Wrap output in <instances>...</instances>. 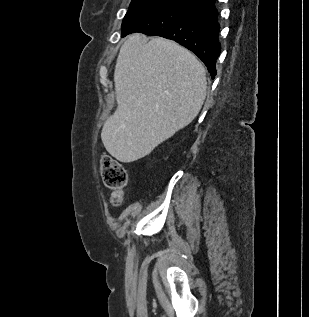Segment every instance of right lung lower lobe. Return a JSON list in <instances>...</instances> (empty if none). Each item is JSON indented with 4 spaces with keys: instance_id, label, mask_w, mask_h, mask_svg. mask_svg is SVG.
I'll return each mask as SVG.
<instances>
[{
    "instance_id": "1",
    "label": "right lung lower lobe",
    "mask_w": 309,
    "mask_h": 317,
    "mask_svg": "<svg viewBox=\"0 0 309 317\" xmlns=\"http://www.w3.org/2000/svg\"><path fill=\"white\" fill-rule=\"evenodd\" d=\"M215 0H178L136 20L122 37L133 32L161 36L193 51L207 66L212 78L221 52Z\"/></svg>"
}]
</instances>
